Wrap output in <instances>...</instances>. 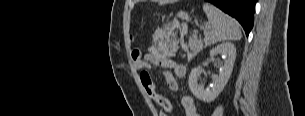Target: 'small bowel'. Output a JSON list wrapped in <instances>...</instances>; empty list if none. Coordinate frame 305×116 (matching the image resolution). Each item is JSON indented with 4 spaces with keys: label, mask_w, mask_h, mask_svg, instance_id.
I'll return each mask as SVG.
<instances>
[{
    "label": "small bowel",
    "mask_w": 305,
    "mask_h": 116,
    "mask_svg": "<svg viewBox=\"0 0 305 116\" xmlns=\"http://www.w3.org/2000/svg\"><path fill=\"white\" fill-rule=\"evenodd\" d=\"M132 59L134 67L137 70L146 71L153 65L165 69L164 75L171 90L178 89V83L175 76L181 78L186 74V68L183 64L167 57L155 45L150 46L145 55L138 50H134L132 52ZM170 70H172L174 74H172ZM140 79L147 96L164 110L160 116H168V114L173 111L170 100L157 92L156 85L150 75L148 79L142 78L140 75ZM181 105L185 116H199L194 99L190 95L182 96Z\"/></svg>",
    "instance_id": "c3829d8e"
}]
</instances>
